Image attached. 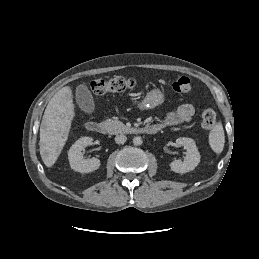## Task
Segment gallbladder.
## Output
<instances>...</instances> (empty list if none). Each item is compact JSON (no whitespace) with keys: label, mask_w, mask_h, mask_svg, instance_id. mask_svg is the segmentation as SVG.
Here are the masks:
<instances>
[{"label":"gallbladder","mask_w":259,"mask_h":259,"mask_svg":"<svg viewBox=\"0 0 259 259\" xmlns=\"http://www.w3.org/2000/svg\"><path fill=\"white\" fill-rule=\"evenodd\" d=\"M75 97L76 103L82 111L87 114H92L95 111L93 96L85 84L76 87Z\"/></svg>","instance_id":"gallbladder-1"}]
</instances>
